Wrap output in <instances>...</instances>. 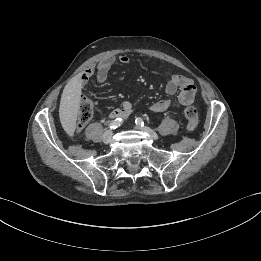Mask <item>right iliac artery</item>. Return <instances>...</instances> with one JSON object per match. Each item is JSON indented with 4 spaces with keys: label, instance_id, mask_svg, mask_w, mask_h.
<instances>
[{
    "label": "right iliac artery",
    "instance_id": "1",
    "mask_svg": "<svg viewBox=\"0 0 261 261\" xmlns=\"http://www.w3.org/2000/svg\"><path fill=\"white\" fill-rule=\"evenodd\" d=\"M122 119L121 118H117L115 120H113L110 124H109V128L110 129H116L118 128L121 124H122Z\"/></svg>",
    "mask_w": 261,
    "mask_h": 261
}]
</instances>
